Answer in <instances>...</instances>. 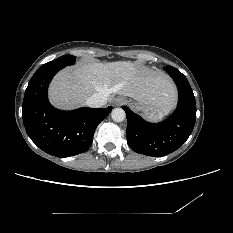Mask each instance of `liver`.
<instances>
[{
	"label": "liver",
	"instance_id": "1",
	"mask_svg": "<svg viewBox=\"0 0 233 233\" xmlns=\"http://www.w3.org/2000/svg\"><path fill=\"white\" fill-rule=\"evenodd\" d=\"M95 93L108 100L124 95L145 103L171 109L176 101L175 87L161 72L140 70L129 61L88 62L60 71L49 87V100L56 108L83 106Z\"/></svg>",
	"mask_w": 233,
	"mask_h": 233
}]
</instances>
